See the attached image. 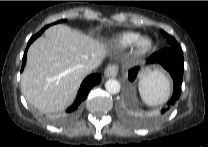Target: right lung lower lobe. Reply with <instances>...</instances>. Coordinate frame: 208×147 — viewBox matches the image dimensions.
I'll return each instance as SVG.
<instances>
[{
    "mask_svg": "<svg viewBox=\"0 0 208 147\" xmlns=\"http://www.w3.org/2000/svg\"><path fill=\"white\" fill-rule=\"evenodd\" d=\"M42 32H39L37 33L36 35L32 36L28 42V45H27V48L24 52V55H23V59H22V69H24V66L26 64V56H27V49L28 47L30 46V44L37 38L41 35ZM101 81V76L99 74H93V75H90L88 76L81 84V87L79 89V92H78V95H77V98L75 100V102L73 103V105L71 107H69L67 109V113H72L74 112L78 105L87 97V94L89 92V90L95 86L96 84L100 83Z\"/></svg>",
    "mask_w": 208,
    "mask_h": 147,
    "instance_id": "obj_1",
    "label": "right lung lower lobe"
}]
</instances>
